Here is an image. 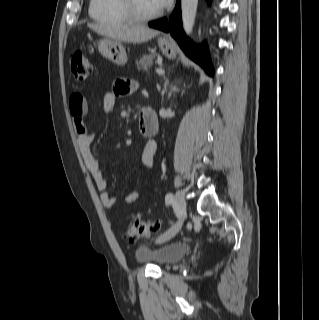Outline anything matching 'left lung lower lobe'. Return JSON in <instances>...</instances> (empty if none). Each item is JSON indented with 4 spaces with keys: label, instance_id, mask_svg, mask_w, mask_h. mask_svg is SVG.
Masks as SVG:
<instances>
[{
    "label": "left lung lower lobe",
    "instance_id": "1",
    "mask_svg": "<svg viewBox=\"0 0 319 320\" xmlns=\"http://www.w3.org/2000/svg\"><path fill=\"white\" fill-rule=\"evenodd\" d=\"M149 26L164 32H170L187 55L200 64L209 75L214 74L206 43L202 44L200 47H195L184 35L181 21L180 0H177L176 7L169 19L163 18L149 22Z\"/></svg>",
    "mask_w": 319,
    "mask_h": 320
}]
</instances>
